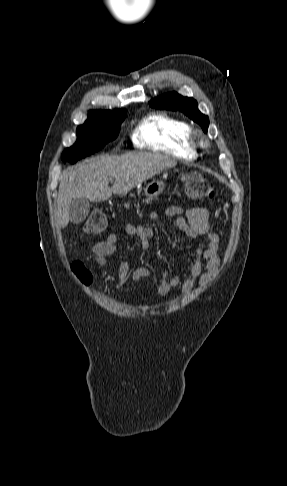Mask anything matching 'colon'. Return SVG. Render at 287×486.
I'll use <instances>...</instances> for the list:
<instances>
[{
  "mask_svg": "<svg viewBox=\"0 0 287 486\" xmlns=\"http://www.w3.org/2000/svg\"><path fill=\"white\" fill-rule=\"evenodd\" d=\"M184 189L188 196L197 199H212L215 195L213 184L198 173H187L184 176ZM107 226V218L103 212H93L84 223V231L88 234H99ZM73 270L79 279L89 284L91 275L80 262L73 264Z\"/></svg>",
  "mask_w": 287,
  "mask_h": 486,
  "instance_id": "colon-1",
  "label": "colon"
}]
</instances>
